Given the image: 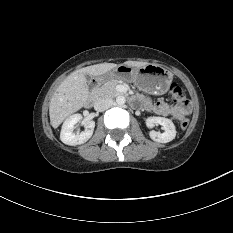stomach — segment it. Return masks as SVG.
I'll list each match as a JSON object with an SVG mask.
<instances>
[{
  "mask_svg": "<svg viewBox=\"0 0 233 233\" xmlns=\"http://www.w3.org/2000/svg\"><path fill=\"white\" fill-rule=\"evenodd\" d=\"M96 79L99 84L111 80L134 82L143 91L155 95H163L171 85L173 74L157 64L149 63L137 68L121 64L112 70L96 76Z\"/></svg>",
  "mask_w": 233,
  "mask_h": 233,
  "instance_id": "1",
  "label": "stomach"
}]
</instances>
